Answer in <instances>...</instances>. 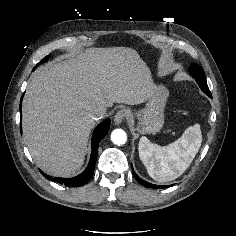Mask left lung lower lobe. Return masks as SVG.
<instances>
[{
  "instance_id": "1",
  "label": "left lung lower lobe",
  "mask_w": 236,
  "mask_h": 236,
  "mask_svg": "<svg viewBox=\"0 0 236 236\" xmlns=\"http://www.w3.org/2000/svg\"><path fill=\"white\" fill-rule=\"evenodd\" d=\"M209 97H212V96H209ZM132 171H133V175L135 177V179L141 183L142 185H144L145 187H148V188H165V187H169V186H157V185H154V184H151L149 182H146L144 181L143 179H141L133 170L132 168Z\"/></svg>"
}]
</instances>
